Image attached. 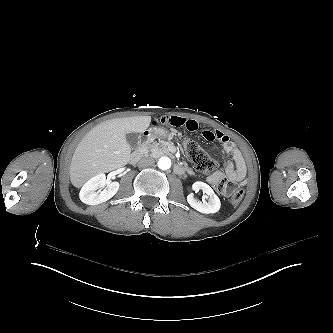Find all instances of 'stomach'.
I'll list each match as a JSON object with an SVG mask.
<instances>
[{
	"mask_svg": "<svg viewBox=\"0 0 333 333\" xmlns=\"http://www.w3.org/2000/svg\"><path fill=\"white\" fill-rule=\"evenodd\" d=\"M168 136L169 132L163 127L150 128L142 133L143 142L153 141L158 137L166 138Z\"/></svg>",
	"mask_w": 333,
	"mask_h": 333,
	"instance_id": "stomach-1",
	"label": "stomach"
}]
</instances>
